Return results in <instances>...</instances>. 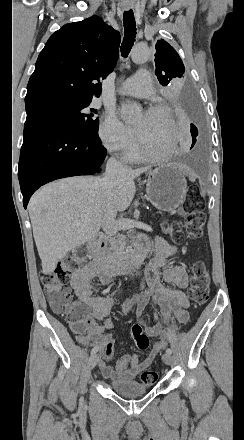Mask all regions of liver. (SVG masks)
I'll list each match as a JSON object with an SVG mask.
<instances>
[{
	"instance_id": "1",
	"label": "liver",
	"mask_w": 244,
	"mask_h": 440,
	"mask_svg": "<svg viewBox=\"0 0 244 440\" xmlns=\"http://www.w3.org/2000/svg\"><path fill=\"white\" fill-rule=\"evenodd\" d=\"M148 170L118 174L114 186H104L102 178L75 176L37 190L28 212L43 274L54 272L67 252L98 234L106 210L125 212L135 196V178ZM76 218L79 226L74 224Z\"/></svg>"
}]
</instances>
